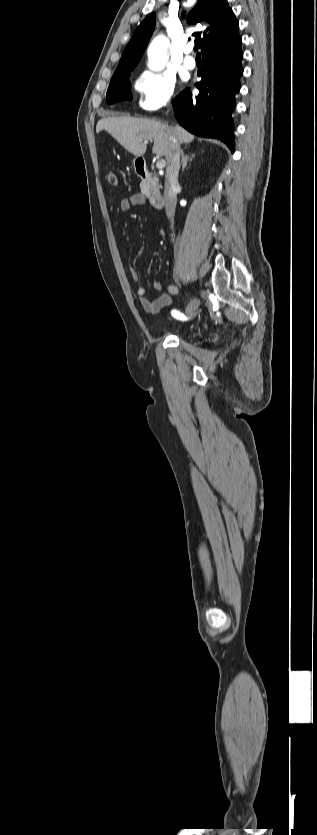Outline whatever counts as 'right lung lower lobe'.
<instances>
[{
	"label": "right lung lower lobe",
	"instance_id": "1",
	"mask_svg": "<svg viewBox=\"0 0 317 835\" xmlns=\"http://www.w3.org/2000/svg\"><path fill=\"white\" fill-rule=\"evenodd\" d=\"M203 66L198 71L202 80L196 84L200 93L192 96L189 89L173 101L175 117L188 131L208 138H217L234 152L232 111L235 95L243 74L241 37L214 42L204 49Z\"/></svg>",
	"mask_w": 317,
	"mask_h": 835
}]
</instances>
